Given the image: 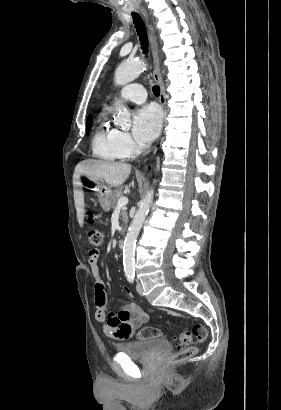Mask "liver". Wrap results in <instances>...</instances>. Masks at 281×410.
<instances>
[{
  "instance_id": "liver-1",
  "label": "liver",
  "mask_w": 281,
  "mask_h": 410,
  "mask_svg": "<svg viewBox=\"0 0 281 410\" xmlns=\"http://www.w3.org/2000/svg\"><path fill=\"white\" fill-rule=\"evenodd\" d=\"M131 172V165L126 163H114L96 159L81 161L75 168L73 185L81 187L79 183L80 174L83 173L93 179H103L110 187L122 185ZM74 201L77 211V220L82 227L84 224L85 203L84 193L81 190L74 192Z\"/></svg>"
}]
</instances>
